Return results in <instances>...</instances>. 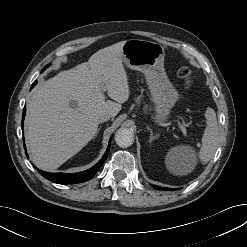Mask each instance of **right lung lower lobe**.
I'll use <instances>...</instances> for the list:
<instances>
[{
    "label": "right lung lower lobe",
    "instance_id": "98d812e1",
    "mask_svg": "<svg viewBox=\"0 0 247 247\" xmlns=\"http://www.w3.org/2000/svg\"><path fill=\"white\" fill-rule=\"evenodd\" d=\"M37 83V81H35L32 84V87H34V85ZM25 112H26V108L24 107L23 110V118H22V130H23V121H24V117H25ZM24 149H25V144H24ZM110 149V145L107 149V151L105 152L103 158L92 168L83 171V172H79V173H73V174H64V173H48L42 170H38V172L46 179L58 183V184H74V183H81V182H85L90 180L95 173L100 169V167L103 165V163L105 162L107 156H108V152ZM27 155V153H26ZM35 167V166H34Z\"/></svg>",
    "mask_w": 247,
    "mask_h": 247
}]
</instances>
